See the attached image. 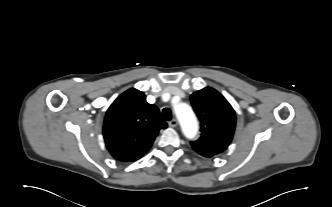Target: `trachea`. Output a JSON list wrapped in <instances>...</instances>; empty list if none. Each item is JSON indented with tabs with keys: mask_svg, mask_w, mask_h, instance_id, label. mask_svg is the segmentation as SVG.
<instances>
[{
	"mask_svg": "<svg viewBox=\"0 0 332 207\" xmlns=\"http://www.w3.org/2000/svg\"><path fill=\"white\" fill-rule=\"evenodd\" d=\"M163 116H164V119L169 121L172 119V113H171V110L169 108H164L163 109Z\"/></svg>",
	"mask_w": 332,
	"mask_h": 207,
	"instance_id": "obj_1",
	"label": "trachea"
}]
</instances>
